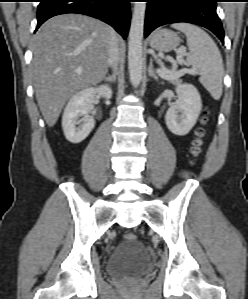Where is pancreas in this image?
<instances>
[{"instance_id":"cf45deb5","label":"pancreas","mask_w":248,"mask_h":299,"mask_svg":"<svg viewBox=\"0 0 248 299\" xmlns=\"http://www.w3.org/2000/svg\"><path fill=\"white\" fill-rule=\"evenodd\" d=\"M167 80H169L170 82L175 83V84L180 82V80L178 78H168Z\"/></svg>"}]
</instances>
